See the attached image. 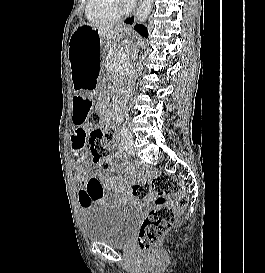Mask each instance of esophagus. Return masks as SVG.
<instances>
[{"label":"esophagus","mask_w":265,"mask_h":273,"mask_svg":"<svg viewBox=\"0 0 265 273\" xmlns=\"http://www.w3.org/2000/svg\"><path fill=\"white\" fill-rule=\"evenodd\" d=\"M140 1H141V0H140ZM134 22H135V18L132 17V16H129V17L123 19L122 25H123V26L130 27L131 25L134 24Z\"/></svg>","instance_id":"esophagus-1"}]
</instances>
